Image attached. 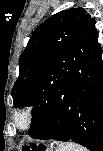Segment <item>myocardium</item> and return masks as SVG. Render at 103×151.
<instances>
[{
	"instance_id": "myocardium-1",
	"label": "myocardium",
	"mask_w": 103,
	"mask_h": 151,
	"mask_svg": "<svg viewBox=\"0 0 103 151\" xmlns=\"http://www.w3.org/2000/svg\"><path fill=\"white\" fill-rule=\"evenodd\" d=\"M11 119L16 129L28 131L36 122V110L32 104L22 103L12 110Z\"/></svg>"
}]
</instances>
